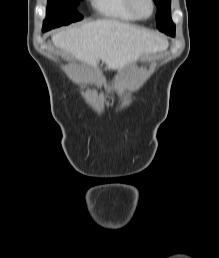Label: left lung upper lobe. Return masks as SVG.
Masks as SVG:
<instances>
[{
	"instance_id": "left-lung-upper-lobe-1",
	"label": "left lung upper lobe",
	"mask_w": 219,
	"mask_h": 258,
	"mask_svg": "<svg viewBox=\"0 0 219 258\" xmlns=\"http://www.w3.org/2000/svg\"><path fill=\"white\" fill-rule=\"evenodd\" d=\"M157 6V28L166 34L175 33V25L171 19V0H154Z\"/></svg>"
}]
</instances>
